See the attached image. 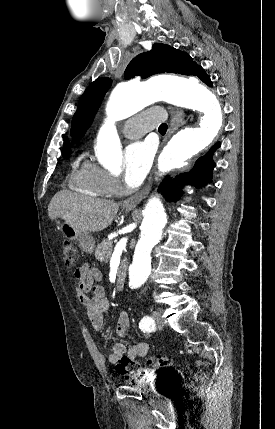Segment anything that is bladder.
<instances>
[{"mask_svg": "<svg viewBox=\"0 0 275 429\" xmlns=\"http://www.w3.org/2000/svg\"><path fill=\"white\" fill-rule=\"evenodd\" d=\"M137 393H151V398H172L170 377H155L154 384H137Z\"/></svg>", "mask_w": 275, "mask_h": 429, "instance_id": "31cf9c89", "label": "bladder"}]
</instances>
